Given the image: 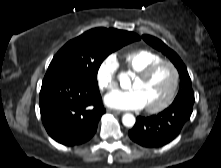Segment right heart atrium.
I'll use <instances>...</instances> for the list:
<instances>
[{
	"label": "right heart atrium",
	"instance_id": "right-heart-atrium-1",
	"mask_svg": "<svg viewBox=\"0 0 221 168\" xmlns=\"http://www.w3.org/2000/svg\"><path fill=\"white\" fill-rule=\"evenodd\" d=\"M118 61L114 54L106 56L99 64L96 72V79L102 91L112 90L117 85Z\"/></svg>",
	"mask_w": 221,
	"mask_h": 168
}]
</instances>
